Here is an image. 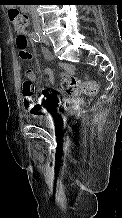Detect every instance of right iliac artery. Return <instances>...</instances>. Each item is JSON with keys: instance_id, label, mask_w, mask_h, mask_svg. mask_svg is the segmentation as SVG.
<instances>
[{"instance_id": "82829eb1", "label": "right iliac artery", "mask_w": 122, "mask_h": 218, "mask_svg": "<svg viewBox=\"0 0 122 218\" xmlns=\"http://www.w3.org/2000/svg\"><path fill=\"white\" fill-rule=\"evenodd\" d=\"M31 38L33 39V41H35L36 43H40L41 42V38L40 35L38 33H32L31 34Z\"/></svg>"}]
</instances>
